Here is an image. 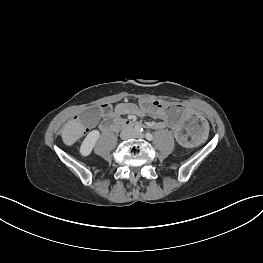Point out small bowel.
Listing matches in <instances>:
<instances>
[{"mask_svg":"<svg viewBox=\"0 0 263 263\" xmlns=\"http://www.w3.org/2000/svg\"><path fill=\"white\" fill-rule=\"evenodd\" d=\"M115 112L117 114H133L136 116H144L143 112H142V108L138 107L134 104L131 103H121L119 105L116 106L115 108ZM154 128L156 129H163L168 127L167 125H163L161 122L155 123L153 125Z\"/></svg>","mask_w":263,"mask_h":263,"instance_id":"obj_1","label":"small bowel"}]
</instances>
